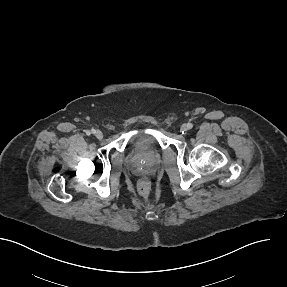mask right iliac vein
<instances>
[{
	"mask_svg": "<svg viewBox=\"0 0 287 287\" xmlns=\"http://www.w3.org/2000/svg\"><path fill=\"white\" fill-rule=\"evenodd\" d=\"M94 135L99 140L103 138V133L100 130L95 131Z\"/></svg>",
	"mask_w": 287,
	"mask_h": 287,
	"instance_id": "1",
	"label": "right iliac vein"
}]
</instances>
